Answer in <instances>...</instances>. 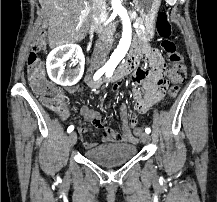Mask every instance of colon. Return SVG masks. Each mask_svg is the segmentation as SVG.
<instances>
[{
	"label": "colon",
	"mask_w": 217,
	"mask_h": 202,
	"mask_svg": "<svg viewBox=\"0 0 217 202\" xmlns=\"http://www.w3.org/2000/svg\"><path fill=\"white\" fill-rule=\"evenodd\" d=\"M158 35L161 40V48L163 53L171 63L168 69L167 82L172 80L188 79L187 64L182 55L177 49L175 42L171 39L172 25L168 18L166 10L159 11L156 20ZM36 41H40L33 45L32 51L29 53L27 60V75L33 91L40 96L41 102L51 108V111H60L61 103L65 102L64 93H54V86L46 80L42 70V60L37 56V52L42 46H47L49 36H36ZM42 41V42H41ZM47 67V64H44ZM159 74H164L160 72ZM179 92L178 87H170L167 90V95L170 99H174ZM158 96H148L147 102H151ZM131 133L134 138H140L144 134V129H132Z\"/></svg>",
	"instance_id": "obj_1"
}]
</instances>
